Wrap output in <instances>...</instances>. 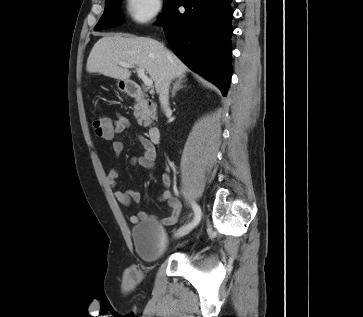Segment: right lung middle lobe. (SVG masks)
Here are the masks:
<instances>
[{
  "mask_svg": "<svg viewBox=\"0 0 363 317\" xmlns=\"http://www.w3.org/2000/svg\"><path fill=\"white\" fill-rule=\"evenodd\" d=\"M172 0H166L165 9ZM120 0H106L105 11L101 16L99 22L95 26L94 30H104L118 26L122 22V16L119 10Z\"/></svg>",
  "mask_w": 363,
  "mask_h": 317,
  "instance_id": "right-lung-middle-lobe-1",
  "label": "right lung middle lobe"
}]
</instances>
